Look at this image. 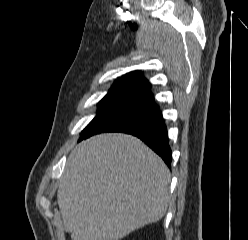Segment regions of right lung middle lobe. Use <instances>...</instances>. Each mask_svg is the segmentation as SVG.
Segmentation results:
<instances>
[{"label": "right lung middle lobe", "mask_w": 248, "mask_h": 240, "mask_svg": "<svg viewBox=\"0 0 248 240\" xmlns=\"http://www.w3.org/2000/svg\"><path fill=\"white\" fill-rule=\"evenodd\" d=\"M137 100L131 97L120 96L108 93L100 102L96 117L82 131L81 137L89 132L95 125L106 117L116 113L117 111L136 103Z\"/></svg>", "instance_id": "obj_1"}]
</instances>
